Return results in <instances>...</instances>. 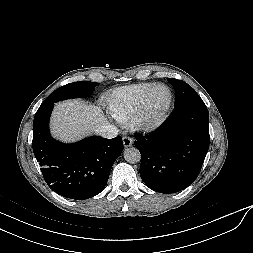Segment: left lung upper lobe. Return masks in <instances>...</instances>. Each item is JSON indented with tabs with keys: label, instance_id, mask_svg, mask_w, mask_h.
Wrapping results in <instances>:
<instances>
[{
	"label": "left lung upper lobe",
	"instance_id": "obj_1",
	"mask_svg": "<svg viewBox=\"0 0 253 253\" xmlns=\"http://www.w3.org/2000/svg\"><path fill=\"white\" fill-rule=\"evenodd\" d=\"M168 81L173 85L176 93L174 108L180 107L191 101L201 99L196 91L186 82L174 78H168Z\"/></svg>",
	"mask_w": 253,
	"mask_h": 253
}]
</instances>
